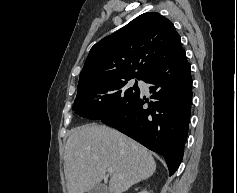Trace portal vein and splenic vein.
Returning <instances> with one entry per match:
<instances>
[{
    "label": "portal vein and splenic vein",
    "instance_id": "obj_1",
    "mask_svg": "<svg viewBox=\"0 0 237 193\" xmlns=\"http://www.w3.org/2000/svg\"><path fill=\"white\" fill-rule=\"evenodd\" d=\"M107 171H108L109 173H113V172H114L113 168H111V167H109V168L107 169Z\"/></svg>",
    "mask_w": 237,
    "mask_h": 193
}]
</instances>
